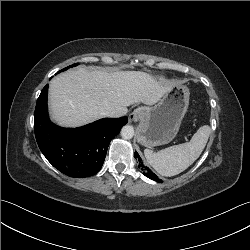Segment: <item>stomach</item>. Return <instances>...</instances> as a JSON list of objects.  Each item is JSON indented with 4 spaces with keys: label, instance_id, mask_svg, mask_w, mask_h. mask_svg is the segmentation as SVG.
<instances>
[{
    "label": "stomach",
    "instance_id": "obj_1",
    "mask_svg": "<svg viewBox=\"0 0 250 250\" xmlns=\"http://www.w3.org/2000/svg\"><path fill=\"white\" fill-rule=\"evenodd\" d=\"M189 89L176 85L152 107H142L137 141L146 147L164 145L177 135L189 105Z\"/></svg>",
    "mask_w": 250,
    "mask_h": 250
}]
</instances>
